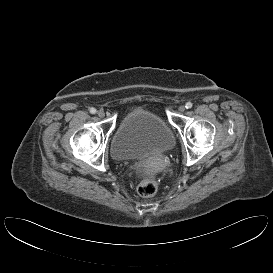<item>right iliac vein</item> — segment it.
Segmentation results:
<instances>
[{
  "mask_svg": "<svg viewBox=\"0 0 273 273\" xmlns=\"http://www.w3.org/2000/svg\"><path fill=\"white\" fill-rule=\"evenodd\" d=\"M97 114H98V116H99L100 118H103V117L105 116V113H104L103 110H99V111L97 112Z\"/></svg>",
  "mask_w": 273,
  "mask_h": 273,
  "instance_id": "obj_1",
  "label": "right iliac vein"
}]
</instances>
